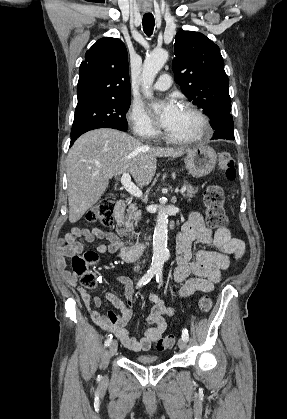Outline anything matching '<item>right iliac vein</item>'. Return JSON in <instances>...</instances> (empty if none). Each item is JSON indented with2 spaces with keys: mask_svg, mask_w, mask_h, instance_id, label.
Here are the masks:
<instances>
[{
  "mask_svg": "<svg viewBox=\"0 0 287 419\" xmlns=\"http://www.w3.org/2000/svg\"><path fill=\"white\" fill-rule=\"evenodd\" d=\"M118 349V343L116 340H113L109 345L108 356L112 357L116 354Z\"/></svg>",
  "mask_w": 287,
  "mask_h": 419,
  "instance_id": "1",
  "label": "right iliac vein"
}]
</instances>
